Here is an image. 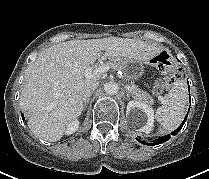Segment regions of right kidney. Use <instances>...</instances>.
Returning a JSON list of instances; mask_svg holds the SVG:
<instances>
[{
  "label": "right kidney",
  "instance_id": "right-kidney-1",
  "mask_svg": "<svg viewBox=\"0 0 209 179\" xmlns=\"http://www.w3.org/2000/svg\"><path fill=\"white\" fill-rule=\"evenodd\" d=\"M79 126V121L78 120H73L71 123L68 124L67 128H66V135H71L73 134Z\"/></svg>",
  "mask_w": 209,
  "mask_h": 179
}]
</instances>
